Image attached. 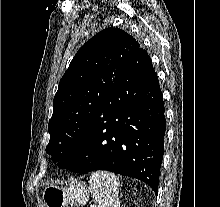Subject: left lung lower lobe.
Here are the masks:
<instances>
[{
    "label": "left lung lower lobe",
    "instance_id": "1",
    "mask_svg": "<svg viewBox=\"0 0 220 207\" xmlns=\"http://www.w3.org/2000/svg\"><path fill=\"white\" fill-rule=\"evenodd\" d=\"M165 123L158 77L140 47L88 132L57 166L78 173L112 171L145 182L157 194Z\"/></svg>",
    "mask_w": 220,
    "mask_h": 207
}]
</instances>
